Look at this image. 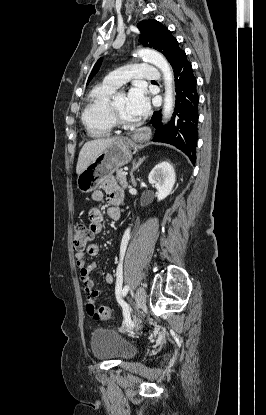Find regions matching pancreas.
Returning a JSON list of instances; mask_svg holds the SVG:
<instances>
[{"mask_svg": "<svg viewBox=\"0 0 266 415\" xmlns=\"http://www.w3.org/2000/svg\"><path fill=\"white\" fill-rule=\"evenodd\" d=\"M116 179L119 182V184L122 186V188H127L128 187L127 178H126V175L123 174L122 169H118L116 171Z\"/></svg>", "mask_w": 266, "mask_h": 415, "instance_id": "1", "label": "pancreas"}]
</instances>
